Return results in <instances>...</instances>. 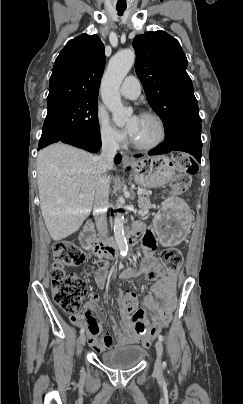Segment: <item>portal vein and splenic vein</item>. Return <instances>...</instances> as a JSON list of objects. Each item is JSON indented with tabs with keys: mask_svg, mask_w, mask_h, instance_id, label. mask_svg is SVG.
Masks as SVG:
<instances>
[{
	"mask_svg": "<svg viewBox=\"0 0 243 404\" xmlns=\"http://www.w3.org/2000/svg\"><path fill=\"white\" fill-rule=\"evenodd\" d=\"M141 194H143V188H139V190H137V196H141ZM80 198H84V194H79Z\"/></svg>",
	"mask_w": 243,
	"mask_h": 404,
	"instance_id": "18ae733b",
	"label": "portal vein and splenic vein"
}]
</instances>
